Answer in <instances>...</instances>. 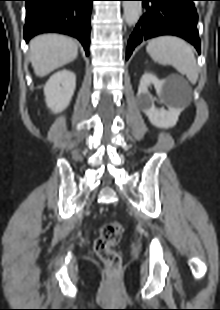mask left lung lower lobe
<instances>
[{"instance_id": "0a47b994", "label": "left lung lower lobe", "mask_w": 220, "mask_h": 310, "mask_svg": "<svg viewBox=\"0 0 220 310\" xmlns=\"http://www.w3.org/2000/svg\"><path fill=\"white\" fill-rule=\"evenodd\" d=\"M143 15L131 34L126 52L129 59L142 41L160 35L179 36L195 46L200 53L195 0H141Z\"/></svg>"}]
</instances>
